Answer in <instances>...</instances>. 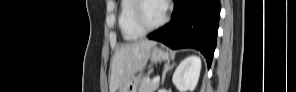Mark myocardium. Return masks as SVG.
<instances>
[{"label":"myocardium","instance_id":"f54148a6","mask_svg":"<svg viewBox=\"0 0 296 92\" xmlns=\"http://www.w3.org/2000/svg\"><path fill=\"white\" fill-rule=\"evenodd\" d=\"M147 1L148 0L135 1L133 13H132V19H133L134 24L142 32H150V31L156 30V29L160 28L162 25H164L165 22L167 21V12L165 10L164 15L161 18V20H159L157 23L152 24V25L147 24L143 18V7Z\"/></svg>","mask_w":296,"mask_h":92}]
</instances>
